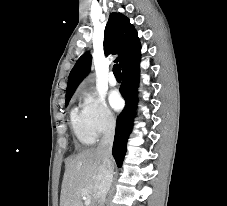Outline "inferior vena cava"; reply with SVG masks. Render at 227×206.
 Masks as SVG:
<instances>
[{
    "mask_svg": "<svg viewBox=\"0 0 227 206\" xmlns=\"http://www.w3.org/2000/svg\"><path fill=\"white\" fill-rule=\"evenodd\" d=\"M115 134V120L112 116L108 118L106 128L97 147L102 156V165L95 184V206H104L106 195L111 187L113 180V157L112 145Z\"/></svg>",
    "mask_w": 227,
    "mask_h": 206,
    "instance_id": "obj_1",
    "label": "inferior vena cava"
}]
</instances>
